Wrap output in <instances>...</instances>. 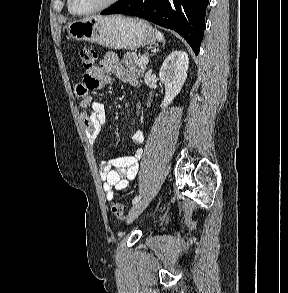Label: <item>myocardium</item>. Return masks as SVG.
<instances>
[{
    "label": "myocardium",
    "instance_id": "myocardium-1",
    "mask_svg": "<svg viewBox=\"0 0 288 293\" xmlns=\"http://www.w3.org/2000/svg\"><path fill=\"white\" fill-rule=\"evenodd\" d=\"M72 1L73 0H68V9H69V11L72 14L77 15V16H85V15H89V14H93V13H97V12H100L102 10H105V9L113 6L114 4H116L119 0H107L103 4L97 6V7L93 8V9L87 10V11H76L73 8Z\"/></svg>",
    "mask_w": 288,
    "mask_h": 293
}]
</instances>
